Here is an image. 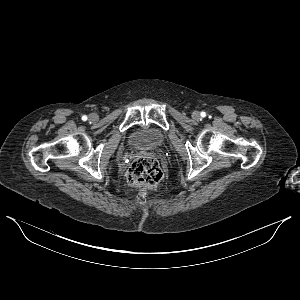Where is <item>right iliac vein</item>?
<instances>
[{"instance_id":"63e3f726","label":"right iliac vein","mask_w":300,"mask_h":300,"mask_svg":"<svg viewBox=\"0 0 300 300\" xmlns=\"http://www.w3.org/2000/svg\"><path fill=\"white\" fill-rule=\"evenodd\" d=\"M90 120L95 121L97 119V115L96 114H91L89 116Z\"/></svg>"}]
</instances>
